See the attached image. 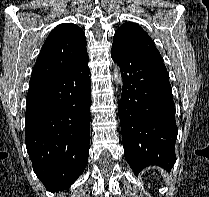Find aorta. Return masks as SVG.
<instances>
[{"label":"aorta","instance_id":"1","mask_svg":"<svg viewBox=\"0 0 209 197\" xmlns=\"http://www.w3.org/2000/svg\"><path fill=\"white\" fill-rule=\"evenodd\" d=\"M114 79H115L117 84L122 85L121 74L119 73V70L116 66H115V70H114Z\"/></svg>","mask_w":209,"mask_h":197}]
</instances>
